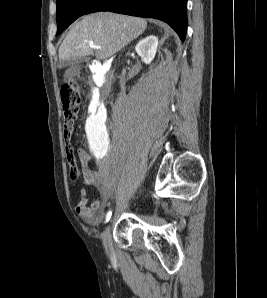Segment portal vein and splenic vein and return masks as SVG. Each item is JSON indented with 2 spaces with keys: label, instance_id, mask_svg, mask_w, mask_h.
<instances>
[{
  "label": "portal vein and splenic vein",
  "instance_id": "obj_1",
  "mask_svg": "<svg viewBox=\"0 0 267 298\" xmlns=\"http://www.w3.org/2000/svg\"><path fill=\"white\" fill-rule=\"evenodd\" d=\"M90 46H91V48L96 49V50L101 49V46H97V45H93V44H91Z\"/></svg>",
  "mask_w": 267,
  "mask_h": 298
}]
</instances>
